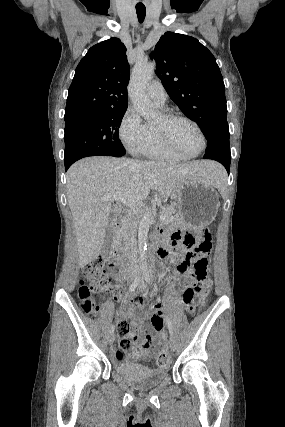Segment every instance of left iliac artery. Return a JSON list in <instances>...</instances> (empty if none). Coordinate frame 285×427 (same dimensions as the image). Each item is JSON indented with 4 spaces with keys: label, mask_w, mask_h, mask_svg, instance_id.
<instances>
[{
    "label": "left iliac artery",
    "mask_w": 285,
    "mask_h": 427,
    "mask_svg": "<svg viewBox=\"0 0 285 427\" xmlns=\"http://www.w3.org/2000/svg\"><path fill=\"white\" fill-rule=\"evenodd\" d=\"M145 281L148 284H151V280H150V278H149V276H148L147 273H145ZM166 321H167V325H168L170 336L173 337V326H172V323H171V321H170V319L168 317H166Z\"/></svg>",
    "instance_id": "44dca946"
}]
</instances>
